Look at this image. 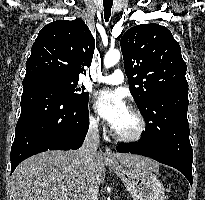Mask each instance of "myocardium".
Masks as SVG:
<instances>
[{
    "instance_id": "1",
    "label": "myocardium",
    "mask_w": 205,
    "mask_h": 200,
    "mask_svg": "<svg viewBox=\"0 0 205 200\" xmlns=\"http://www.w3.org/2000/svg\"><path fill=\"white\" fill-rule=\"evenodd\" d=\"M128 110L137 119L138 127H137L136 131L132 134H121V133L116 132L113 129L112 134L119 141L137 142L144 136V134L146 132V128H147V122H146L144 115L142 114V112L138 108L131 106V107H129Z\"/></svg>"
}]
</instances>
